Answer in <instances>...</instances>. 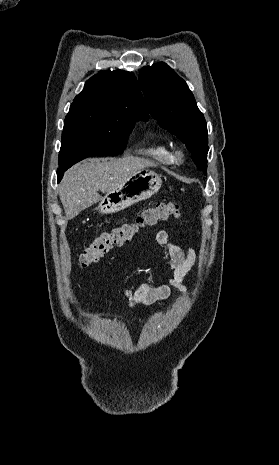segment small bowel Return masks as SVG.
I'll use <instances>...</instances> for the list:
<instances>
[{"mask_svg": "<svg viewBox=\"0 0 279 465\" xmlns=\"http://www.w3.org/2000/svg\"><path fill=\"white\" fill-rule=\"evenodd\" d=\"M156 241L168 251L170 267L173 273L166 283L159 286L142 284L135 290H124L123 295L129 306L138 304L150 305L157 301L164 300L170 296L172 287L179 289L184 297L188 296V290L183 284V281L196 262L195 250L188 247L185 251L180 246L172 243L165 230L157 232Z\"/></svg>", "mask_w": 279, "mask_h": 465, "instance_id": "small-bowel-1", "label": "small bowel"}]
</instances>
